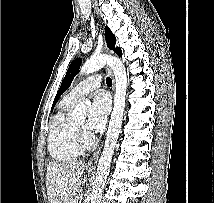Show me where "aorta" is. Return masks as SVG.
Masks as SVG:
<instances>
[{"instance_id": "1", "label": "aorta", "mask_w": 214, "mask_h": 203, "mask_svg": "<svg viewBox=\"0 0 214 203\" xmlns=\"http://www.w3.org/2000/svg\"><path fill=\"white\" fill-rule=\"evenodd\" d=\"M105 65H108L113 70L116 89L114 95V107L109 122L105 145L98 161L96 177L90 195V203H101L103 189L109 174L110 164L121 130L125 109L127 73L123 62L119 58L110 55L92 56L84 63L80 72L82 74L88 75L100 70ZM86 114V102H81L76 105L71 114V117L73 120H83L85 119Z\"/></svg>"}]
</instances>
